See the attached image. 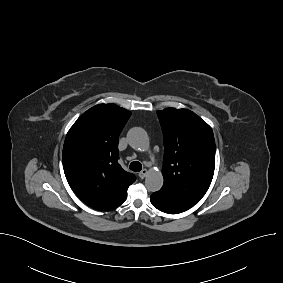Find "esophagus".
Segmentation results:
<instances>
[{"label":"esophagus","mask_w":283,"mask_h":283,"mask_svg":"<svg viewBox=\"0 0 283 283\" xmlns=\"http://www.w3.org/2000/svg\"><path fill=\"white\" fill-rule=\"evenodd\" d=\"M147 174H148V171H147L146 169H143V170L138 174V176H139L140 179H144V178L147 176Z\"/></svg>","instance_id":"esophagus-1"}]
</instances>
